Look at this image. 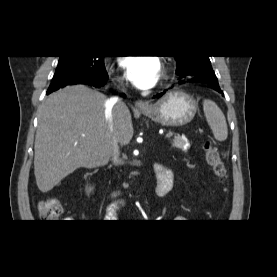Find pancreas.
I'll return each instance as SVG.
<instances>
[{"label":"pancreas","instance_id":"pancreas-1","mask_svg":"<svg viewBox=\"0 0 277 277\" xmlns=\"http://www.w3.org/2000/svg\"><path fill=\"white\" fill-rule=\"evenodd\" d=\"M172 146L177 149L187 150L190 147V143L186 137L176 136L172 140Z\"/></svg>","mask_w":277,"mask_h":277}]
</instances>
